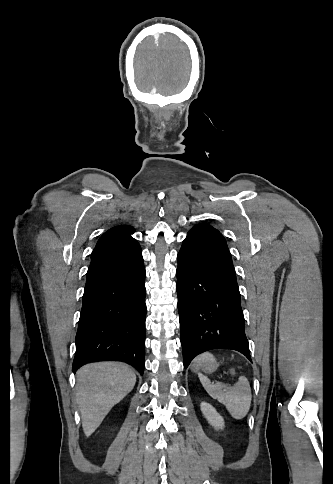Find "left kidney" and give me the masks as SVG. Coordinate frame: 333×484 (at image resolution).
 Here are the masks:
<instances>
[{
	"mask_svg": "<svg viewBox=\"0 0 333 484\" xmlns=\"http://www.w3.org/2000/svg\"><path fill=\"white\" fill-rule=\"evenodd\" d=\"M201 411L210 425L214 426L215 429H223L224 420L212 405L206 402L201 403Z\"/></svg>",
	"mask_w": 333,
	"mask_h": 484,
	"instance_id": "obj_1",
	"label": "left kidney"
}]
</instances>
